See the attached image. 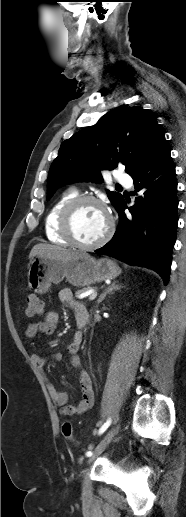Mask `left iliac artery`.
I'll return each instance as SVG.
<instances>
[{
  "label": "left iliac artery",
  "instance_id": "left-iliac-artery-1",
  "mask_svg": "<svg viewBox=\"0 0 186 517\" xmlns=\"http://www.w3.org/2000/svg\"><path fill=\"white\" fill-rule=\"evenodd\" d=\"M110 424H111V419L108 418L107 421L99 429V434H103L107 430V428L110 426ZM92 454L93 453L91 451L86 452V456H88V457L92 456Z\"/></svg>",
  "mask_w": 186,
  "mask_h": 517
}]
</instances>
